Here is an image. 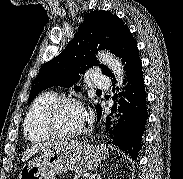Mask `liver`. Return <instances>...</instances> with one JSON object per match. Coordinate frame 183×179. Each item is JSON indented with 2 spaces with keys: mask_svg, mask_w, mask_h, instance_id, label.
I'll list each match as a JSON object with an SVG mask.
<instances>
[{
  "mask_svg": "<svg viewBox=\"0 0 183 179\" xmlns=\"http://www.w3.org/2000/svg\"><path fill=\"white\" fill-rule=\"evenodd\" d=\"M49 144H51V143L36 144V145L32 146L30 149L26 150L21 159L22 163L29 160L32 156H34L36 153H38L40 150H42Z\"/></svg>",
  "mask_w": 183,
  "mask_h": 179,
  "instance_id": "1",
  "label": "liver"
}]
</instances>
